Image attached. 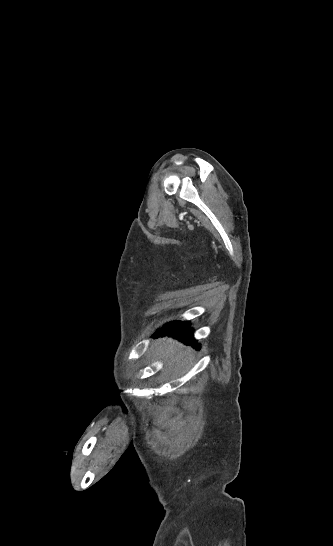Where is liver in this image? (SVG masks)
<instances>
[{"label": "liver", "mask_w": 333, "mask_h": 546, "mask_svg": "<svg viewBox=\"0 0 333 546\" xmlns=\"http://www.w3.org/2000/svg\"><path fill=\"white\" fill-rule=\"evenodd\" d=\"M156 355L158 358L166 360L167 370L175 368L178 372L182 371L185 353L180 343L174 342L171 339L159 340L156 345Z\"/></svg>", "instance_id": "liver-1"}]
</instances>
